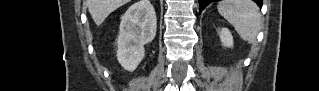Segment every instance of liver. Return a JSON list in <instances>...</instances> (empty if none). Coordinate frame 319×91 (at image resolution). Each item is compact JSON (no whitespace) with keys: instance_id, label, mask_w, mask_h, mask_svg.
<instances>
[{"instance_id":"1","label":"liver","mask_w":319,"mask_h":91,"mask_svg":"<svg viewBox=\"0 0 319 91\" xmlns=\"http://www.w3.org/2000/svg\"><path fill=\"white\" fill-rule=\"evenodd\" d=\"M129 2V0H86L89 13L96 25L104 20L116 9Z\"/></svg>"}]
</instances>
